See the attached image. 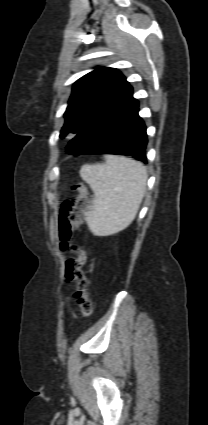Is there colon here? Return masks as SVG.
<instances>
[{"mask_svg":"<svg viewBox=\"0 0 208 425\" xmlns=\"http://www.w3.org/2000/svg\"><path fill=\"white\" fill-rule=\"evenodd\" d=\"M77 193L74 197L62 203L59 215V241L62 251L74 254L73 258L65 261L64 276L67 281L75 283L76 290L73 295L84 317L92 313V301L89 295V280L84 272L88 257L86 251L78 244L72 242V237L82 223V215L87 201V188L81 181L72 185Z\"/></svg>","mask_w":208,"mask_h":425,"instance_id":"5ec220e1","label":"colon"}]
</instances>
